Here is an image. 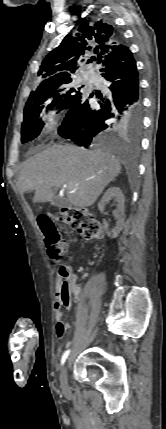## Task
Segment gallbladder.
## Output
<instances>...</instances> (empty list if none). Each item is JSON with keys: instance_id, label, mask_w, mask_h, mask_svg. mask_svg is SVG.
Segmentation results:
<instances>
[{"instance_id": "gallbladder-1", "label": "gallbladder", "mask_w": 166, "mask_h": 429, "mask_svg": "<svg viewBox=\"0 0 166 429\" xmlns=\"http://www.w3.org/2000/svg\"><path fill=\"white\" fill-rule=\"evenodd\" d=\"M50 203H51V205L57 206V207H69L70 206V202L66 198L59 197V196H55L50 201Z\"/></svg>"}]
</instances>
